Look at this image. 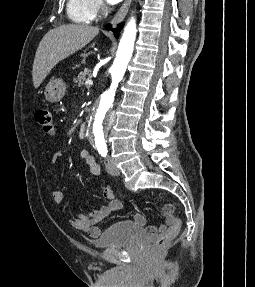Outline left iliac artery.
<instances>
[{
    "mask_svg": "<svg viewBox=\"0 0 255 287\" xmlns=\"http://www.w3.org/2000/svg\"><path fill=\"white\" fill-rule=\"evenodd\" d=\"M98 151L101 154V156L106 157V155H107V148L106 147H100L98 149Z\"/></svg>",
    "mask_w": 255,
    "mask_h": 287,
    "instance_id": "obj_1",
    "label": "left iliac artery"
}]
</instances>
